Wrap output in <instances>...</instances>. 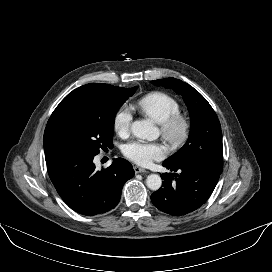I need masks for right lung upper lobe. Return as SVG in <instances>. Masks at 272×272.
<instances>
[{
    "label": "right lung upper lobe",
    "instance_id": "1",
    "mask_svg": "<svg viewBox=\"0 0 272 272\" xmlns=\"http://www.w3.org/2000/svg\"><path fill=\"white\" fill-rule=\"evenodd\" d=\"M128 88L108 84L91 83L70 92L56 107L48 120L53 121L66 116L100 115L105 111L107 100L124 93Z\"/></svg>",
    "mask_w": 272,
    "mask_h": 272
}]
</instances>
